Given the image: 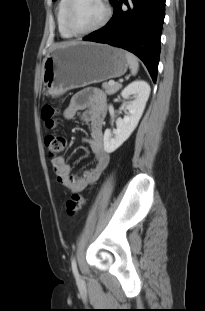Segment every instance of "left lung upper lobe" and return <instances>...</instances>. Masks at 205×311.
Segmentation results:
<instances>
[{"instance_id": "5c2ea615", "label": "left lung upper lobe", "mask_w": 205, "mask_h": 311, "mask_svg": "<svg viewBox=\"0 0 205 311\" xmlns=\"http://www.w3.org/2000/svg\"><path fill=\"white\" fill-rule=\"evenodd\" d=\"M53 1H55V0H53ZM110 1H111V3H113L114 0H110Z\"/></svg>"}]
</instances>
